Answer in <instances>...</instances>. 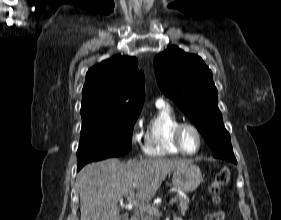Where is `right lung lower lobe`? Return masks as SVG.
<instances>
[{
	"label": "right lung lower lobe",
	"mask_w": 281,
	"mask_h": 220,
	"mask_svg": "<svg viewBox=\"0 0 281 220\" xmlns=\"http://www.w3.org/2000/svg\"><path fill=\"white\" fill-rule=\"evenodd\" d=\"M83 166H77V171H79Z\"/></svg>",
	"instance_id": "right-lung-lower-lobe-1"
}]
</instances>
